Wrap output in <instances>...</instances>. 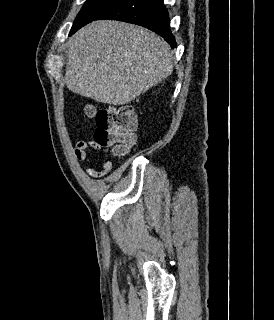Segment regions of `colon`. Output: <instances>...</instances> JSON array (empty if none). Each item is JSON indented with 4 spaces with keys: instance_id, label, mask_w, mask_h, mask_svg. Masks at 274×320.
<instances>
[{
    "instance_id": "colon-1",
    "label": "colon",
    "mask_w": 274,
    "mask_h": 320,
    "mask_svg": "<svg viewBox=\"0 0 274 320\" xmlns=\"http://www.w3.org/2000/svg\"><path fill=\"white\" fill-rule=\"evenodd\" d=\"M83 113L95 121L93 143H101L102 149L113 143L114 154L120 158L135 144L138 119L132 107L104 106L93 109L86 106Z\"/></svg>"
}]
</instances>
